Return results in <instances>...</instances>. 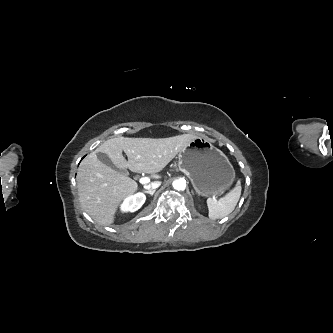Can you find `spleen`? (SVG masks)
<instances>
[{
  "label": "spleen",
  "instance_id": "1",
  "mask_svg": "<svg viewBox=\"0 0 333 333\" xmlns=\"http://www.w3.org/2000/svg\"><path fill=\"white\" fill-rule=\"evenodd\" d=\"M241 195V185L238 181L235 188H233L224 197L216 200L213 198L207 199V206L209 210V218L212 220L221 219L229 215L236 207Z\"/></svg>",
  "mask_w": 333,
  "mask_h": 333
}]
</instances>
